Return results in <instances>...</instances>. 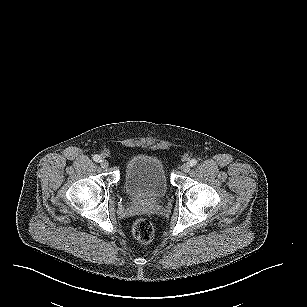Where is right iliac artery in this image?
I'll return each instance as SVG.
<instances>
[{
    "instance_id": "obj_1",
    "label": "right iliac artery",
    "mask_w": 307,
    "mask_h": 307,
    "mask_svg": "<svg viewBox=\"0 0 307 307\" xmlns=\"http://www.w3.org/2000/svg\"><path fill=\"white\" fill-rule=\"evenodd\" d=\"M93 159L96 162H100L101 161V157L99 155H94Z\"/></svg>"
}]
</instances>
